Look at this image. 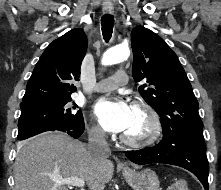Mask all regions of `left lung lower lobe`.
I'll use <instances>...</instances> for the list:
<instances>
[{
  "instance_id": "1",
  "label": "left lung lower lobe",
  "mask_w": 221,
  "mask_h": 190,
  "mask_svg": "<svg viewBox=\"0 0 221 190\" xmlns=\"http://www.w3.org/2000/svg\"><path fill=\"white\" fill-rule=\"evenodd\" d=\"M125 155L139 165L165 163L183 167L200 180L205 190H209V165L205 145L183 141L174 133L163 130V139L158 145L137 151H126Z\"/></svg>"
}]
</instances>
